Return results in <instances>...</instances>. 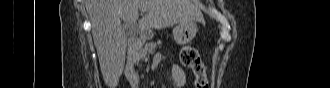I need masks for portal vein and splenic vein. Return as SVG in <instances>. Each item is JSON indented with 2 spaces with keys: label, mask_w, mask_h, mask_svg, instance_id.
Wrapping results in <instances>:
<instances>
[{
  "label": "portal vein and splenic vein",
  "mask_w": 330,
  "mask_h": 88,
  "mask_svg": "<svg viewBox=\"0 0 330 88\" xmlns=\"http://www.w3.org/2000/svg\"><path fill=\"white\" fill-rule=\"evenodd\" d=\"M142 12H145L146 11V9H144V8H142V9H140Z\"/></svg>",
  "instance_id": "1"
}]
</instances>
